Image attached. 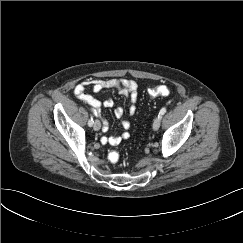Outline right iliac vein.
<instances>
[{
  "label": "right iliac vein",
  "mask_w": 243,
  "mask_h": 243,
  "mask_svg": "<svg viewBox=\"0 0 243 243\" xmlns=\"http://www.w3.org/2000/svg\"><path fill=\"white\" fill-rule=\"evenodd\" d=\"M93 128H94L95 131L100 130V128H101V123H100L99 120H95V122H94V124H93Z\"/></svg>",
  "instance_id": "63e3f726"
}]
</instances>
